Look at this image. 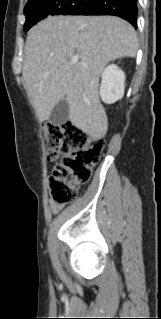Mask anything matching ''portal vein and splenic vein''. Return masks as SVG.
I'll return each mask as SVG.
<instances>
[{
	"instance_id": "18ae733b",
	"label": "portal vein and splenic vein",
	"mask_w": 161,
	"mask_h": 319,
	"mask_svg": "<svg viewBox=\"0 0 161 319\" xmlns=\"http://www.w3.org/2000/svg\"><path fill=\"white\" fill-rule=\"evenodd\" d=\"M78 62V57L71 58V63L76 64Z\"/></svg>"
}]
</instances>
